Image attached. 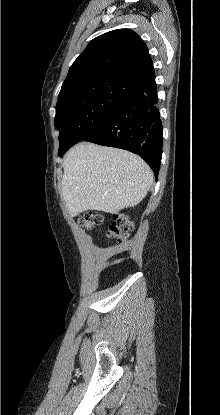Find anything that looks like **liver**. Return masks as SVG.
Wrapping results in <instances>:
<instances>
[{"label": "liver", "instance_id": "obj_1", "mask_svg": "<svg viewBox=\"0 0 220 415\" xmlns=\"http://www.w3.org/2000/svg\"><path fill=\"white\" fill-rule=\"evenodd\" d=\"M61 190L72 216L96 210L117 214L146 196L153 173L137 155L92 143L73 147L63 162Z\"/></svg>", "mask_w": 220, "mask_h": 415}]
</instances>
